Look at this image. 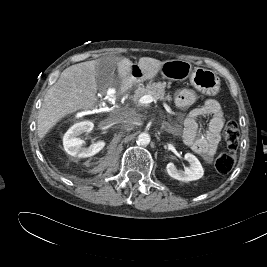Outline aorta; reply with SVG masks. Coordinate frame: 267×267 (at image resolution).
<instances>
[{"label":"aorta","mask_w":267,"mask_h":267,"mask_svg":"<svg viewBox=\"0 0 267 267\" xmlns=\"http://www.w3.org/2000/svg\"><path fill=\"white\" fill-rule=\"evenodd\" d=\"M137 142L142 146L148 145L150 143V135L146 132L139 134Z\"/></svg>","instance_id":"762f6f07"}]
</instances>
